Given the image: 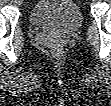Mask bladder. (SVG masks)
<instances>
[{"instance_id":"1","label":"bladder","mask_w":111,"mask_h":106,"mask_svg":"<svg viewBox=\"0 0 111 106\" xmlns=\"http://www.w3.org/2000/svg\"><path fill=\"white\" fill-rule=\"evenodd\" d=\"M32 25L61 33L78 31L83 24V14L73 0H39L29 13Z\"/></svg>"}]
</instances>
